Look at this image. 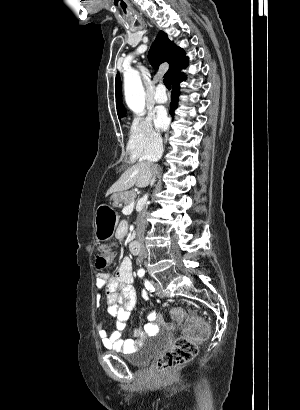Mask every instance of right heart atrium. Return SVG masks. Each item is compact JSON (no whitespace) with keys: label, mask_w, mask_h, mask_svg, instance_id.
I'll list each match as a JSON object with an SVG mask.
<instances>
[{"label":"right heart atrium","mask_w":300,"mask_h":410,"mask_svg":"<svg viewBox=\"0 0 300 410\" xmlns=\"http://www.w3.org/2000/svg\"><path fill=\"white\" fill-rule=\"evenodd\" d=\"M161 134L150 118L137 116L129 127L127 154L130 159H138L145 154L155 153L161 146Z\"/></svg>","instance_id":"right-heart-atrium-1"}]
</instances>
